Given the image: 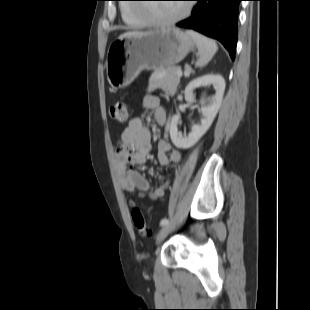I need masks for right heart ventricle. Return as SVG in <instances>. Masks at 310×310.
I'll return each mask as SVG.
<instances>
[{
  "label": "right heart ventricle",
  "instance_id": "obj_1",
  "mask_svg": "<svg viewBox=\"0 0 310 310\" xmlns=\"http://www.w3.org/2000/svg\"><path fill=\"white\" fill-rule=\"evenodd\" d=\"M127 1V0H126ZM135 8L127 3H123L120 6V13L123 22L130 28H141L147 25L144 18L138 17L135 14Z\"/></svg>",
  "mask_w": 310,
  "mask_h": 310
}]
</instances>
